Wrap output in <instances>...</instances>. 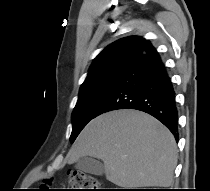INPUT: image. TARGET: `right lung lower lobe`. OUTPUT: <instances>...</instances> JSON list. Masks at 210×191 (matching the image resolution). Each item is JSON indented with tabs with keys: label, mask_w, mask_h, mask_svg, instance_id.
Wrapping results in <instances>:
<instances>
[{
	"label": "right lung lower lobe",
	"mask_w": 210,
	"mask_h": 191,
	"mask_svg": "<svg viewBox=\"0 0 210 191\" xmlns=\"http://www.w3.org/2000/svg\"><path fill=\"white\" fill-rule=\"evenodd\" d=\"M117 109H136L154 116L178 140V112L173 85L158 52L148 41L131 57L100 104L96 116Z\"/></svg>",
	"instance_id": "1"
}]
</instances>
